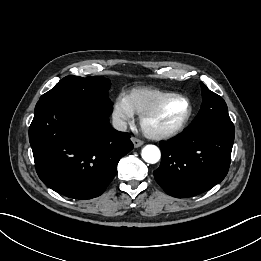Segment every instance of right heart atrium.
<instances>
[{
	"mask_svg": "<svg viewBox=\"0 0 261 261\" xmlns=\"http://www.w3.org/2000/svg\"><path fill=\"white\" fill-rule=\"evenodd\" d=\"M112 117L118 128H124L133 121L134 111L127 96L123 94L116 96L112 106Z\"/></svg>",
	"mask_w": 261,
	"mask_h": 261,
	"instance_id": "d8ad5b80",
	"label": "right heart atrium"
}]
</instances>
